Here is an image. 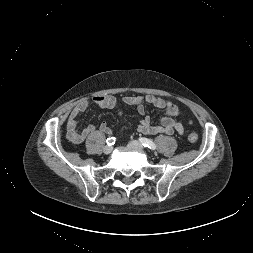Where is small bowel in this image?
Segmentation results:
<instances>
[{
    "label": "small bowel",
    "mask_w": 253,
    "mask_h": 253,
    "mask_svg": "<svg viewBox=\"0 0 253 253\" xmlns=\"http://www.w3.org/2000/svg\"><path fill=\"white\" fill-rule=\"evenodd\" d=\"M124 104L135 106L141 115H145V104H150L164 112L159 126L151 125L150 118L145 116L138 125V131L146 135L167 134L177 132L183 135L186 131L183 122L184 113L172 101L154 95H128L122 98ZM99 106L104 109H113L117 106V99L112 95H100L91 99L79 101L69 114L66 124L67 139L73 144L82 143L89 135L95 132V125H88L82 130L78 129V117L91 106ZM121 113V112H120ZM191 124V121H189ZM100 130L105 134H111V129L106 123H101Z\"/></svg>",
    "instance_id": "c3829d8e"
}]
</instances>
